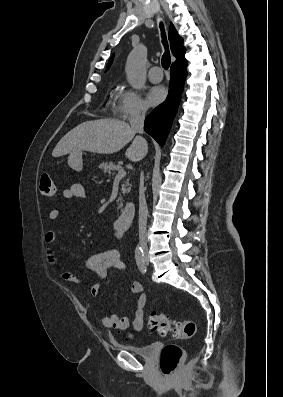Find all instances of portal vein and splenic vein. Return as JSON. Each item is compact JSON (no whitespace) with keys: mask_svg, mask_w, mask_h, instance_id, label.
Segmentation results:
<instances>
[{"mask_svg":"<svg viewBox=\"0 0 283 397\" xmlns=\"http://www.w3.org/2000/svg\"><path fill=\"white\" fill-rule=\"evenodd\" d=\"M126 175V172L123 168L118 170L117 175L115 176V180H120L121 178H123Z\"/></svg>","mask_w":283,"mask_h":397,"instance_id":"1","label":"portal vein and splenic vein"}]
</instances>
